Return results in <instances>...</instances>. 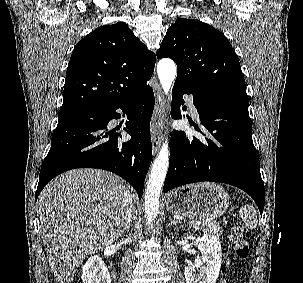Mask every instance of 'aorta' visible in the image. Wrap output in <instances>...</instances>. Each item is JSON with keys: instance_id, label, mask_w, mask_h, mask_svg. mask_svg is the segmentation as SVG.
Wrapping results in <instances>:
<instances>
[{"instance_id": "1", "label": "aorta", "mask_w": 303, "mask_h": 283, "mask_svg": "<svg viewBox=\"0 0 303 283\" xmlns=\"http://www.w3.org/2000/svg\"><path fill=\"white\" fill-rule=\"evenodd\" d=\"M157 74L164 92L167 94L174 82L177 68L173 60L165 58L157 65ZM169 166V147L167 141L163 143L156 157L145 192L144 211L147 224L150 225L159 212V198Z\"/></svg>"}]
</instances>
